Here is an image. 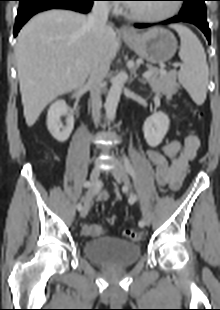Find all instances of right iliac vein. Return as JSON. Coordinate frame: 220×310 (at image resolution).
<instances>
[{"label":"right iliac vein","mask_w":220,"mask_h":310,"mask_svg":"<svg viewBox=\"0 0 220 310\" xmlns=\"http://www.w3.org/2000/svg\"><path fill=\"white\" fill-rule=\"evenodd\" d=\"M100 173H101V169L99 167H95L90 174V186L86 193L84 206L81 210L82 218H85L86 215L88 214L89 206H90L92 198L94 197V194L96 191V185L98 183Z\"/></svg>","instance_id":"1"}]
</instances>
